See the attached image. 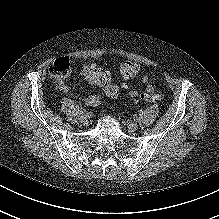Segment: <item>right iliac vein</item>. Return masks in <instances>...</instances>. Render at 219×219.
Segmentation results:
<instances>
[{
	"mask_svg": "<svg viewBox=\"0 0 219 219\" xmlns=\"http://www.w3.org/2000/svg\"><path fill=\"white\" fill-rule=\"evenodd\" d=\"M87 119H88L87 114H81L80 117H79V120H80V122H82V123L86 122Z\"/></svg>",
	"mask_w": 219,
	"mask_h": 219,
	"instance_id": "right-iliac-vein-1",
	"label": "right iliac vein"
}]
</instances>
